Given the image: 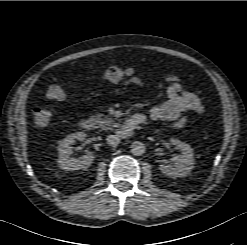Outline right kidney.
<instances>
[{
    "label": "right kidney",
    "mask_w": 247,
    "mask_h": 245,
    "mask_svg": "<svg viewBox=\"0 0 247 245\" xmlns=\"http://www.w3.org/2000/svg\"><path fill=\"white\" fill-rule=\"evenodd\" d=\"M86 138V134L84 132H77L68 135L58 146L59 157H58V165L61 169L65 171H74L80 169L88 168L94 160V155L92 152H87L80 159H73L70 157L72 150L71 145L76 141H83Z\"/></svg>",
    "instance_id": "obj_1"
}]
</instances>
